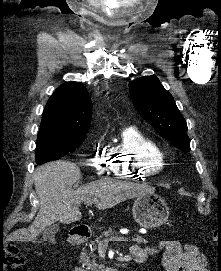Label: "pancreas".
I'll list each match as a JSON object with an SVG mask.
<instances>
[{"instance_id": "obj_1", "label": "pancreas", "mask_w": 221, "mask_h": 271, "mask_svg": "<svg viewBox=\"0 0 221 271\" xmlns=\"http://www.w3.org/2000/svg\"><path fill=\"white\" fill-rule=\"evenodd\" d=\"M102 235L103 237H96L95 240H88V245H92L90 253H87V251H81L80 261L81 263H84V265H87L86 271L88 267H90V269H95V271H98L102 263H96L95 259H90V255H94L93 251L95 247H97L98 243L107 242V237H110V235H114V231L113 229H108V231H103ZM143 238L144 237H133V242H135V244H149V241H144ZM112 241H115V237H112Z\"/></svg>"}]
</instances>
